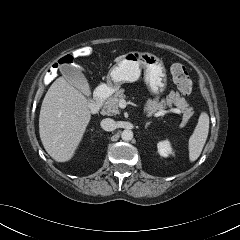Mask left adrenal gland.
Wrapping results in <instances>:
<instances>
[{"label": "left adrenal gland", "instance_id": "obj_1", "mask_svg": "<svg viewBox=\"0 0 240 240\" xmlns=\"http://www.w3.org/2000/svg\"><path fill=\"white\" fill-rule=\"evenodd\" d=\"M150 125V122H147L145 125V128H147Z\"/></svg>", "mask_w": 240, "mask_h": 240}]
</instances>
